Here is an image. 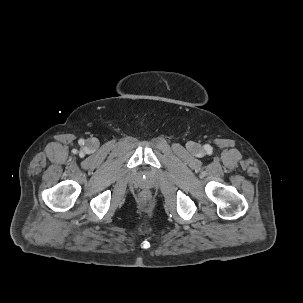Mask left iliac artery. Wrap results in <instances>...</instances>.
I'll use <instances>...</instances> for the list:
<instances>
[{
    "label": "left iliac artery",
    "instance_id": "1",
    "mask_svg": "<svg viewBox=\"0 0 303 303\" xmlns=\"http://www.w3.org/2000/svg\"><path fill=\"white\" fill-rule=\"evenodd\" d=\"M206 150H207V152L209 153L211 149H210V147H209V148H206Z\"/></svg>",
    "mask_w": 303,
    "mask_h": 303
}]
</instances>
